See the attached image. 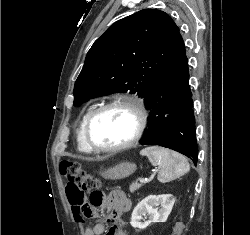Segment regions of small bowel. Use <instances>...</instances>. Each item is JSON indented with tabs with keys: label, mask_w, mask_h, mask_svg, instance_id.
<instances>
[{
	"label": "small bowel",
	"mask_w": 250,
	"mask_h": 235,
	"mask_svg": "<svg viewBox=\"0 0 250 235\" xmlns=\"http://www.w3.org/2000/svg\"><path fill=\"white\" fill-rule=\"evenodd\" d=\"M108 197V201L101 207L105 221L87 225L84 235H129L125 223L119 217L130 210L131 201L121 190L111 191ZM71 210L77 222H85V219L95 214L87 202L79 206L71 204Z\"/></svg>",
	"instance_id": "small-bowel-1"
}]
</instances>
